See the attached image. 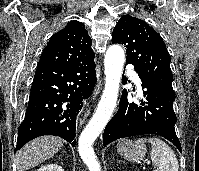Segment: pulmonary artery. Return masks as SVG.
<instances>
[{"label":"pulmonary artery","instance_id":"pulmonary-artery-1","mask_svg":"<svg viewBox=\"0 0 199 171\" xmlns=\"http://www.w3.org/2000/svg\"><path fill=\"white\" fill-rule=\"evenodd\" d=\"M130 76L135 83L140 84L139 77L135 73H130Z\"/></svg>","mask_w":199,"mask_h":171}]
</instances>
